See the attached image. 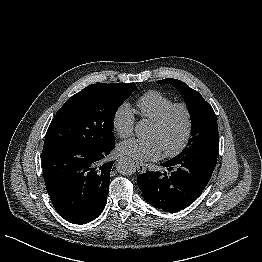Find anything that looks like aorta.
Masks as SVG:
<instances>
[{"label": "aorta", "mask_w": 262, "mask_h": 262, "mask_svg": "<svg viewBox=\"0 0 262 262\" xmlns=\"http://www.w3.org/2000/svg\"><path fill=\"white\" fill-rule=\"evenodd\" d=\"M135 133L137 137H145L149 130V125L146 120H140L135 126ZM117 171L122 175H132L136 171V166L134 161L128 157H122L117 160L116 163Z\"/></svg>", "instance_id": "aorta-1"}]
</instances>
